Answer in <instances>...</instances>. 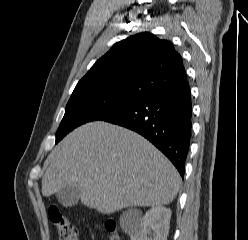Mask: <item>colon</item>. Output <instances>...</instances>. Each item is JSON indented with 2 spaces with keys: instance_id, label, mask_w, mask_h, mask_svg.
<instances>
[{
  "instance_id": "colon-1",
  "label": "colon",
  "mask_w": 248,
  "mask_h": 240,
  "mask_svg": "<svg viewBox=\"0 0 248 240\" xmlns=\"http://www.w3.org/2000/svg\"><path fill=\"white\" fill-rule=\"evenodd\" d=\"M48 215L58 231L60 240H79L76 227L58 207L51 206ZM107 230L110 233V240H120L115 222H108Z\"/></svg>"
}]
</instances>
